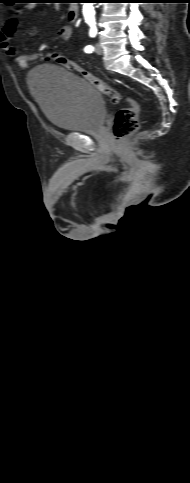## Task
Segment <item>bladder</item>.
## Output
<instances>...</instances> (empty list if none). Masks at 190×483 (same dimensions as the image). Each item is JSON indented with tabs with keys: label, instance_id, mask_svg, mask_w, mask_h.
<instances>
[{
	"label": "bladder",
	"instance_id": "1",
	"mask_svg": "<svg viewBox=\"0 0 190 483\" xmlns=\"http://www.w3.org/2000/svg\"><path fill=\"white\" fill-rule=\"evenodd\" d=\"M28 86L46 119L63 131H98L106 105L100 92L79 75L60 66L34 68Z\"/></svg>",
	"mask_w": 190,
	"mask_h": 483
}]
</instances>
